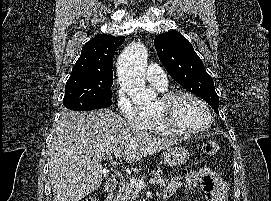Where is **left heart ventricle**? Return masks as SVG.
<instances>
[{
	"mask_svg": "<svg viewBox=\"0 0 271 201\" xmlns=\"http://www.w3.org/2000/svg\"><path fill=\"white\" fill-rule=\"evenodd\" d=\"M154 113L168 115L178 126L184 129H199L209 122V116L204 107L189 98H181L171 105H167L159 99Z\"/></svg>",
	"mask_w": 271,
	"mask_h": 201,
	"instance_id": "b2bd125f",
	"label": "left heart ventricle"
}]
</instances>
